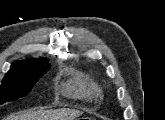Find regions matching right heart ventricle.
<instances>
[{"label":"right heart ventricle","mask_w":165,"mask_h":120,"mask_svg":"<svg viewBox=\"0 0 165 120\" xmlns=\"http://www.w3.org/2000/svg\"><path fill=\"white\" fill-rule=\"evenodd\" d=\"M65 94L81 98L93 99L98 96V89L96 85L83 73H76L63 86Z\"/></svg>","instance_id":"1"}]
</instances>
